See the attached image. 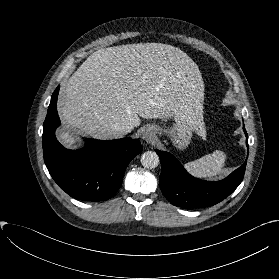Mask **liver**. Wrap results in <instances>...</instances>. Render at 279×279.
Masks as SVG:
<instances>
[{"mask_svg":"<svg viewBox=\"0 0 279 279\" xmlns=\"http://www.w3.org/2000/svg\"><path fill=\"white\" fill-rule=\"evenodd\" d=\"M204 83L197 64L181 49L162 43L126 44L91 54L69 78L58 112L70 129L96 139L123 136L125 125L202 112ZM205 138L202 125L197 129ZM59 140L77 143L68 131Z\"/></svg>","mask_w":279,"mask_h":279,"instance_id":"liver-1","label":"liver"}]
</instances>
